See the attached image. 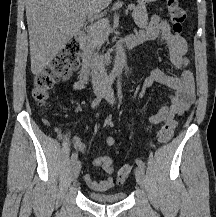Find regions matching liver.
<instances>
[{
  "label": "liver",
  "mask_w": 216,
  "mask_h": 217,
  "mask_svg": "<svg viewBox=\"0 0 216 217\" xmlns=\"http://www.w3.org/2000/svg\"><path fill=\"white\" fill-rule=\"evenodd\" d=\"M112 0H26L31 72L38 75L83 27L87 14Z\"/></svg>",
  "instance_id": "obj_1"
}]
</instances>
